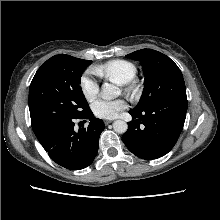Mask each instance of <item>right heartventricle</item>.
I'll return each instance as SVG.
<instances>
[{"label":"right heart ventricle","mask_w":220,"mask_h":220,"mask_svg":"<svg viewBox=\"0 0 220 220\" xmlns=\"http://www.w3.org/2000/svg\"><path fill=\"white\" fill-rule=\"evenodd\" d=\"M94 72L96 75L119 85L133 81L138 73L134 63L122 59L111 60L105 64L96 66Z\"/></svg>","instance_id":"right-heart-ventricle-1"}]
</instances>
